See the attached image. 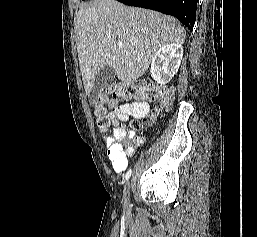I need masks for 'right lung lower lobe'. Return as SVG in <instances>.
Returning a JSON list of instances; mask_svg holds the SVG:
<instances>
[{"instance_id": "1", "label": "right lung lower lobe", "mask_w": 257, "mask_h": 237, "mask_svg": "<svg viewBox=\"0 0 257 237\" xmlns=\"http://www.w3.org/2000/svg\"><path fill=\"white\" fill-rule=\"evenodd\" d=\"M129 6L142 7L172 15L191 31L196 20L198 0H117Z\"/></svg>"}]
</instances>
